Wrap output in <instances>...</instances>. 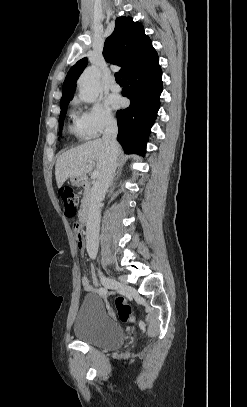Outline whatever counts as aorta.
Wrapping results in <instances>:
<instances>
[{
	"label": "aorta",
	"instance_id": "aorta-1",
	"mask_svg": "<svg viewBox=\"0 0 247 407\" xmlns=\"http://www.w3.org/2000/svg\"><path fill=\"white\" fill-rule=\"evenodd\" d=\"M79 97L82 101L92 103L101 93L100 71L92 66L87 68L78 80Z\"/></svg>",
	"mask_w": 247,
	"mask_h": 407
}]
</instances>
